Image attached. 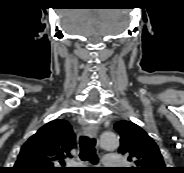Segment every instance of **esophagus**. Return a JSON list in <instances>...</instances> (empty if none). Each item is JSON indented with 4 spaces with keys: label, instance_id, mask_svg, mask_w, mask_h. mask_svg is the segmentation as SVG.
<instances>
[{
    "label": "esophagus",
    "instance_id": "34e87169",
    "mask_svg": "<svg viewBox=\"0 0 184 173\" xmlns=\"http://www.w3.org/2000/svg\"><path fill=\"white\" fill-rule=\"evenodd\" d=\"M82 132L85 136L96 137L98 132V127L96 125L84 126Z\"/></svg>",
    "mask_w": 184,
    "mask_h": 173
}]
</instances>
